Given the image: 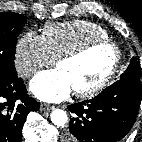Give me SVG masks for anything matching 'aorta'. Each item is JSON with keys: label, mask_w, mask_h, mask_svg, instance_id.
Returning <instances> with one entry per match:
<instances>
[{"label": "aorta", "mask_w": 142, "mask_h": 142, "mask_svg": "<svg viewBox=\"0 0 142 142\" xmlns=\"http://www.w3.org/2000/svg\"><path fill=\"white\" fill-rule=\"evenodd\" d=\"M51 121L56 126H63L67 122V114L64 110L61 109H55L52 111L51 115Z\"/></svg>", "instance_id": "obj_1"}]
</instances>
